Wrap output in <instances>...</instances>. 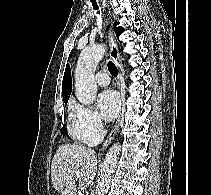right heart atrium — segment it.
I'll return each instance as SVG.
<instances>
[{
  "instance_id": "1",
  "label": "right heart atrium",
  "mask_w": 211,
  "mask_h": 195,
  "mask_svg": "<svg viewBox=\"0 0 211 195\" xmlns=\"http://www.w3.org/2000/svg\"><path fill=\"white\" fill-rule=\"evenodd\" d=\"M72 113L78 135L83 142L93 144L101 139L104 125L95 110L81 104H74Z\"/></svg>"
}]
</instances>
